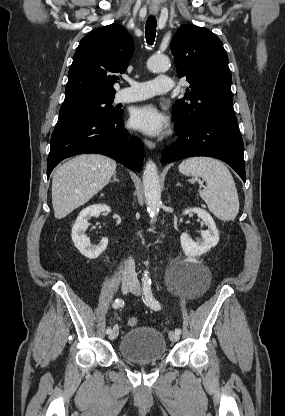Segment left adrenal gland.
I'll return each mask as SVG.
<instances>
[{
	"instance_id": "left-adrenal-gland-1",
	"label": "left adrenal gland",
	"mask_w": 285,
	"mask_h": 416,
	"mask_svg": "<svg viewBox=\"0 0 285 416\" xmlns=\"http://www.w3.org/2000/svg\"><path fill=\"white\" fill-rule=\"evenodd\" d=\"M176 186H181L180 182H177Z\"/></svg>"
}]
</instances>
